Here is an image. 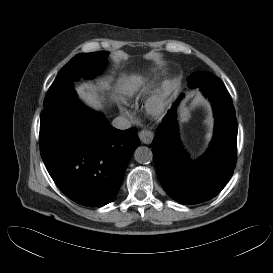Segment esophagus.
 Masks as SVG:
<instances>
[{
  "mask_svg": "<svg viewBox=\"0 0 273 273\" xmlns=\"http://www.w3.org/2000/svg\"><path fill=\"white\" fill-rule=\"evenodd\" d=\"M139 139L144 144H150L152 142V139L154 137L153 132L149 130H141L138 134Z\"/></svg>",
  "mask_w": 273,
  "mask_h": 273,
  "instance_id": "obj_1",
  "label": "esophagus"
}]
</instances>
